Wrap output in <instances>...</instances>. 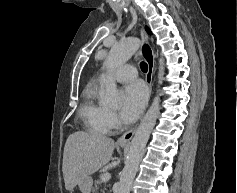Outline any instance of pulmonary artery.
<instances>
[{"mask_svg":"<svg viewBox=\"0 0 237 193\" xmlns=\"http://www.w3.org/2000/svg\"><path fill=\"white\" fill-rule=\"evenodd\" d=\"M137 76V70L132 65H124L117 69L114 73V78L119 82H131Z\"/></svg>","mask_w":237,"mask_h":193,"instance_id":"obj_1","label":"pulmonary artery"}]
</instances>
